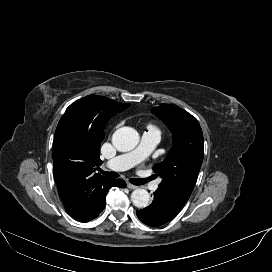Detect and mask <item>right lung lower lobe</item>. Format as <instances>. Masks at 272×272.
<instances>
[{"mask_svg":"<svg viewBox=\"0 0 272 272\" xmlns=\"http://www.w3.org/2000/svg\"><path fill=\"white\" fill-rule=\"evenodd\" d=\"M115 186L124 188V187H126V183L122 179H111L109 188L115 187ZM109 188H108V190H109ZM108 190L104 194V196H103L102 200L100 201V203H99L98 207L96 208V210L86 220H84L82 222L90 221V220L96 218L100 214V212L104 209L105 197H106V194H107Z\"/></svg>","mask_w":272,"mask_h":272,"instance_id":"right-lung-lower-lobe-1","label":"right lung lower lobe"}]
</instances>
